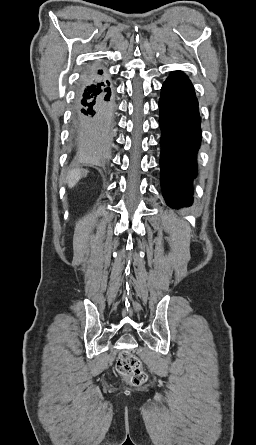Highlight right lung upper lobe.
<instances>
[{
	"mask_svg": "<svg viewBox=\"0 0 256 445\" xmlns=\"http://www.w3.org/2000/svg\"><path fill=\"white\" fill-rule=\"evenodd\" d=\"M107 79V75L103 74L102 70H90L86 75L85 79L82 82L84 84H97L99 82H103Z\"/></svg>",
	"mask_w": 256,
	"mask_h": 445,
	"instance_id": "obj_1",
	"label": "right lung upper lobe"
}]
</instances>
